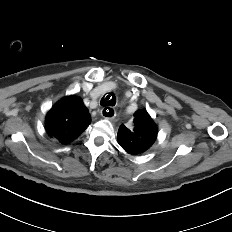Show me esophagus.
I'll list each match as a JSON object with an SVG mask.
<instances>
[{
	"mask_svg": "<svg viewBox=\"0 0 232 232\" xmlns=\"http://www.w3.org/2000/svg\"><path fill=\"white\" fill-rule=\"evenodd\" d=\"M101 115L106 119H113L116 116V111L112 107H104L101 110Z\"/></svg>",
	"mask_w": 232,
	"mask_h": 232,
	"instance_id": "esophagus-1",
	"label": "esophagus"
}]
</instances>
